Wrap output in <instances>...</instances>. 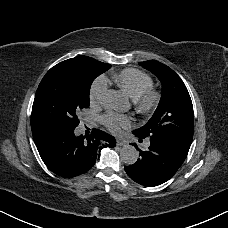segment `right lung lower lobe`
Returning <instances> with one entry per match:
<instances>
[{"mask_svg": "<svg viewBox=\"0 0 228 228\" xmlns=\"http://www.w3.org/2000/svg\"><path fill=\"white\" fill-rule=\"evenodd\" d=\"M75 128L32 129L34 142L45 165L65 178L87 172L95 164L102 147L116 145L115 138L101 130L92 129L87 136H77Z\"/></svg>", "mask_w": 228, "mask_h": 228, "instance_id": "right-lung-lower-lobe-1", "label": "right lung lower lobe"}]
</instances>
